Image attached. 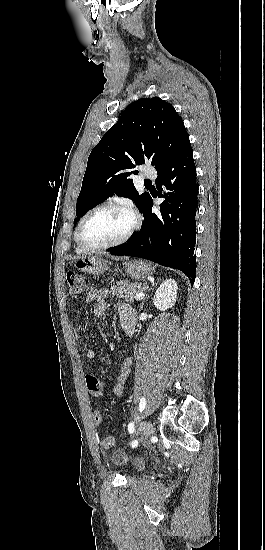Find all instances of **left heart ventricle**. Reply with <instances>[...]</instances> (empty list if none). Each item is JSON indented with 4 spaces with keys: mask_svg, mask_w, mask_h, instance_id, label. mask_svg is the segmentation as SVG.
<instances>
[{
    "mask_svg": "<svg viewBox=\"0 0 265 550\" xmlns=\"http://www.w3.org/2000/svg\"><path fill=\"white\" fill-rule=\"evenodd\" d=\"M132 217L118 209H102L88 217L81 229V237L87 244L98 245L115 241L131 227Z\"/></svg>",
    "mask_w": 265,
    "mask_h": 550,
    "instance_id": "left-heart-ventricle-1",
    "label": "left heart ventricle"
}]
</instances>
